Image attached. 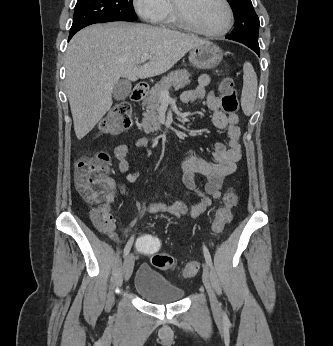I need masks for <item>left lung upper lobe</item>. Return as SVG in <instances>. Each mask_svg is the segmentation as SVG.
<instances>
[{
	"label": "left lung upper lobe",
	"instance_id": "obj_1",
	"mask_svg": "<svg viewBox=\"0 0 333 346\" xmlns=\"http://www.w3.org/2000/svg\"><path fill=\"white\" fill-rule=\"evenodd\" d=\"M234 15L235 28L226 38L238 41L246 46L258 45L259 18L253 9L251 0H228Z\"/></svg>",
	"mask_w": 333,
	"mask_h": 346
}]
</instances>
